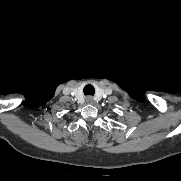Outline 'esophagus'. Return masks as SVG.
I'll use <instances>...</instances> for the list:
<instances>
[{
	"label": "esophagus",
	"instance_id": "34e87169",
	"mask_svg": "<svg viewBox=\"0 0 181 181\" xmlns=\"http://www.w3.org/2000/svg\"><path fill=\"white\" fill-rule=\"evenodd\" d=\"M86 101H87V103H89V104H93V103H94V99H93V97H91V96L87 97V98H86Z\"/></svg>",
	"mask_w": 181,
	"mask_h": 181
}]
</instances>
